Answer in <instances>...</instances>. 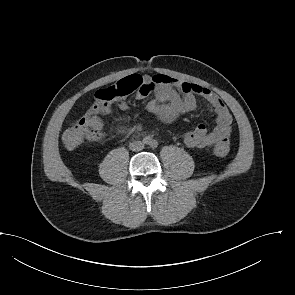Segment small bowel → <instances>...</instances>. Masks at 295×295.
I'll list each match as a JSON object with an SVG mask.
<instances>
[{"instance_id":"small-bowel-1","label":"small bowel","mask_w":295,"mask_h":295,"mask_svg":"<svg viewBox=\"0 0 295 295\" xmlns=\"http://www.w3.org/2000/svg\"><path fill=\"white\" fill-rule=\"evenodd\" d=\"M150 94L154 97L147 104L148 111L165 123H171L182 115L196 110L198 97L202 98L209 110L216 115L217 125L212 130H208L204 124H199L186 132L183 140L187 147L210 148L229 142L233 117L225 103L210 89L164 74H157L146 76L143 79V88L137 91L139 99ZM115 106L120 110L129 108L126 102L118 101L115 105L108 107L105 112L112 111ZM102 136L104 131L100 119L98 138Z\"/></svg>"}]
</instances>
